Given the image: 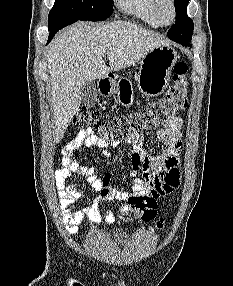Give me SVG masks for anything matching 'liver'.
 <instances>
[{
    "label": "liver",
    "instance_id": "6515ba94",
    "mask_svg": "<svg viewBox=\"0 0 233 286\" xmlns=\"http://www.w3.org/2000/svg\"><path fill=\"white\" fill-rule=\"evenodd\" d=\"M161 36L130 21L107 24L78 22L59 32L47 51L51 76L54 141L60 142L82 102L86 81L125 69L157 47L168 46ZM107 55L109 66L103 60Z\"/></svg>",
    "mask_w": 233,
    "mask_h": 286
}]
</instances>
